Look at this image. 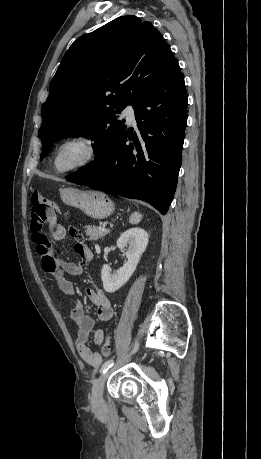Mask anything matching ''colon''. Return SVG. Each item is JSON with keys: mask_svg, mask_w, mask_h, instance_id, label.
<instances>
[{"mask_svg": "<svg viewBox=\"0 0 261 459\" xmlns=\"http://www.w3.org/2000/svg\"><path fill=\"white\" fill-rule=\"evenodd\" d=\"M31 202L33 204L32 210V223L29 225L31 234L35 238H44L45 230L43 227L56 219L59 212V206L52 200L43 196L37 189L31 195ZM72 234L80 236V234L71 229ZM112 351V340L108 336L101 347V353L104 357L110 356Z\"/></svg>", "mask_w": 261, "mask_h": 459, "instance_id": "obj_1", "label": "colon"}]
</instances>
